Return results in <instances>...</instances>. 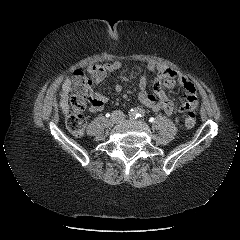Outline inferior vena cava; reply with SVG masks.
Segmentation results:
<instances>
[{"instance_id": "inferior-vena-cava-1", "label": "inferior vena cava", "mask_w": 240, "mask_h": 240, "mask_svg": "<svg viewBox=\"0 0 240 240\" xmlns=\"http://www.w3.org/2000/svg\"><path fill=\"white\" fill-rule=\"evenodd\" d=\"M112 120L116 123H122L125 120V115L122 111H114L112 113Z\"/></svg>"}]
</instances>
